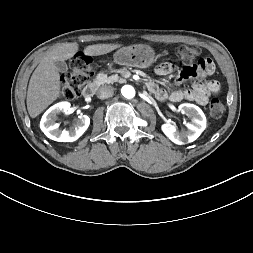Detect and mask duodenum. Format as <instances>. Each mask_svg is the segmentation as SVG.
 <instances>
[{"label": "duodenum", "instance_id": "410a0bca", "mask_svg": "<svg viewBox=\"0 0 253 253\" xmlns=\"http://www.w3.org/2000/svg\"><path fill=\"white\" fill-rule=\"evenodd\" d=\"M99 85H100L99 80H95V81H92L89 84H87L83 90L84 97L85 98L93 97L96 94Z\"/></svg>", "mask_w": 253, "mask_h": 253}]
</instances>
